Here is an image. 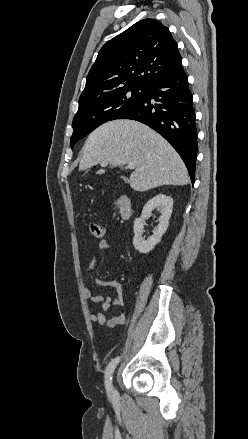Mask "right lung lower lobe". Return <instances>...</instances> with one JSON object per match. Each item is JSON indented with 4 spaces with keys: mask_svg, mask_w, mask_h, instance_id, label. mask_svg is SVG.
I'll list each match as a JSON object with an SVG mask.
<instances>
[{
    "mask_svg": "<svg viewBox=\"0 0 248 439\" xmlns=\"http://www.w3.org/2000/svg\"><path fill=\"white\" fill-rule=\"evenodd\" d=\"M118 119L137 120L160 133L179 153L194 184L197 131L183 67L151 83L142 98Z\"/></svg>",
    "mask_w": 248,
    "mask_h": 439,
    "instance_id": "right-lung-lower-lobe-1",
    "label": "right lung lower lobe"
}]
</instances>
